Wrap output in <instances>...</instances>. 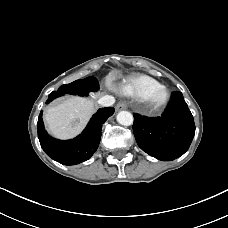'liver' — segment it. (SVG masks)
Here are the masks:
<instances>
[{
  "label": "liver",
  "mask_w": 228,
  "mask_h": 228,
  "mask_svg": "<svg viewBox=\"0 0 228 228\" xmlns=\"http://www.w3.org/2000/svg\"><path fill=\"white\" fill-rule=\"evenodd\" d=\"M100 96L101 93L91 94V99L74 96L48 108L44 117L48 130L60 139L76 136L87 124L94 101Z\"/></svg>",
  "instance_id": "1"
}]
</instances>
